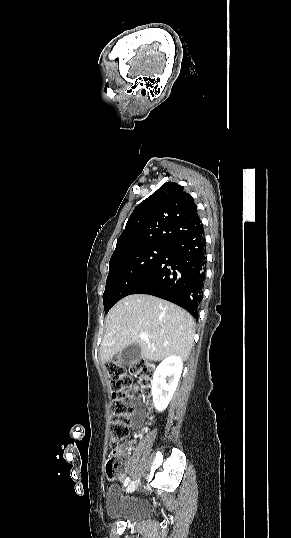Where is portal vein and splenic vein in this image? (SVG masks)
Segmentation results:
<instances>
[{
  "instance_id": "1",
  "label": "portal vein and splenic vein",
  "mask_w": 291,
  "mask_h": 538,
  "mask_svg": "<svg viewBox=\"0 0 291 538\" xmlns=\"http://www.w3.org/2000/svg\"><path fill=\"white\" fill-rule=\"evenodd\" d=\"M140 337L144 340H148V335L146 333H140Z\"/></svg>"
}]
</instances>
